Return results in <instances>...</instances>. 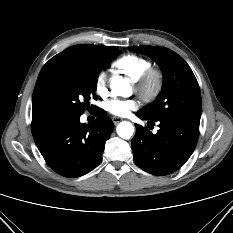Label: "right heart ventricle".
Here are the masks:
<instances>
[{
    "mask_svg": "<svg viewBox=\"0 0 233 233\" xmlns=\"http://www.w3.org/2000/svg\"><path fill=\"white\" fill-rule=\"evenodd\" d=\"M113 67L131 81H134L151 67V61L137 54H126L115 60Z\"/></svg>",
    "mask_w": 233,
    "mask_h": 233,
    "instance_id": "right-heart-ventricle-1",
    "label": "right heart ventricle"
}]
</instances>
